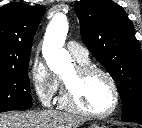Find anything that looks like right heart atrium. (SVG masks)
Listing matches in <instances>:
<instances>
[{"label":"right heart atrium","instance_id":"1","mask_svg":"<svg viewBox=\"0 0 142 128\" xmlns=\"http://www.w3.org/2000/svg\"><path fill=\"white\" fill-rule=\"evenodd\" d=\"M30 79L39 101L44 105L51 104L60 90L61 81L39 57L31 63Z\"/></svg>","mask_w":142,"mask_h":128}]
</instances>
